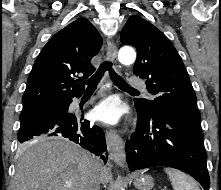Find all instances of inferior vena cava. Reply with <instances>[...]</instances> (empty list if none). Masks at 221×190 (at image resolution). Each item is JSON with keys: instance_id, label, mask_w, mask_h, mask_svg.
I'll use <instances>...</instances> for the list:
<instances>
[{"instance_id": "obj_1", "label": "inferior vena cava", "mask_w": 221, "mask_h": 190, "mask_svg": "<svg viewBox=\"0 0 221 190\" xmlns=\"http://www.w3.org/2000/svg\"><path fill=\"white\" fill-rule=\"evenodd\" d=\"M101 170H102V162L100 159H93L90 171L89 178L86 185V190H100L101 183Z\"/></svg>"}]
</instances>
